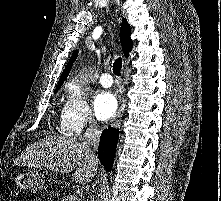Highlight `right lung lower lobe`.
Wrapping results in <instances>:
<instances>
[{"instance_id":"right-lung-lower-lobe-1","label":"right lung lower lobe","mask_w":221,"mask_h":201,"mask_svg":"<svg viewBox=\"0 0 221 201\" xmlns=\"http://www.w3.org/2000/svg\"><path fill=\"white\" fill-rule=\"evenodd\" d=\"M118 134L119 131L111 127L105 129L101 134L99 148H98V157L100 162L108 171H111L112 169L114 155L118 141Z\"/></svg>"}]
</instances>
